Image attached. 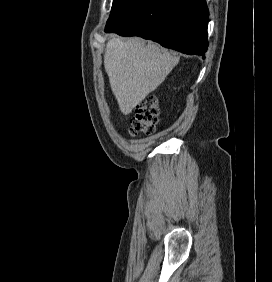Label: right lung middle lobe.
I'll return each instance as SVG.
<instances>
[{
	"label": "right lung middle lobe",
	"mask_w": 272,
	"mask_h": 282,
	"mask_svg": "<svg viewBox=\"0 0 272 282\" xmlns=\"http://www.w3.org/2000/svg\"><path fill=\"white\" fill-rule=\"evenodd\" d=\"M138 0H114L110 17L106 27L120 18L128 9H130Z\"/></svg>",
	"instance_id": "1"
}]
</instances>
